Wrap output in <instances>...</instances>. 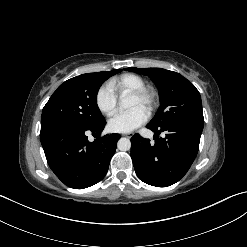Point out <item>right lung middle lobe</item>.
Masks as SVG:
<instances>
[{
  "instance_id": "obj_1",
  "label": "right lung middle lobe",
  "mask_w": 247,
  "mask_h": 247,
  "mask_svg": "<svg viewBox=\"0 0 247 247\" xmlns=\"http://www.w3.org/2000/svg\"><path fill=\"white\" fill-rule=\"evenodd\" d=\"M119 72L121 69L87 73L62 83L43 108L41 129L58 125L91 128L103 122L97 93L109 77Z\"/></svg>"
}]
</instances>
